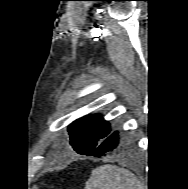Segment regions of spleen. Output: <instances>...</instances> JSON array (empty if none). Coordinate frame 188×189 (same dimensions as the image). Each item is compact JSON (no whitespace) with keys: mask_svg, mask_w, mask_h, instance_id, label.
<instances>
[{"mask_svg":"<svg viewBox=\"0 0 188 189\" xmlns=\"http://www.w3.org/2000/svg\"><path fill=\"white\" fill-rule=\"evenodd\" d=\"M139 183L130 171L114 165L95 168L85 189H138Z\"/></svg>","mask_w":188,"mask_h":189,"instance_id":"1","label":"spleen"}]
</instances>
